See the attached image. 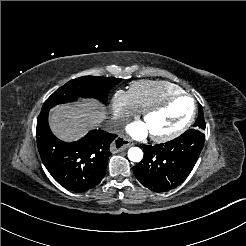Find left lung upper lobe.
<instances>
[{
    "instance_id": "1",
    "label": "left lung upper lobe",
    "mask_w": 246,
    "mask_h": 246,
    "mask_svg": "<svg viewBox=\"0 0 246 246\" xmlns=\"http://www.w3.org/2000/svg\"><path fill=\"white\" fill-rule=\"evenodd\" d=\"M194 128L195 129H198L200 131H204L205 130V120H204V115H203V111H202V107L201 105L199 106V115H198V118L196 120V122L194 123Z\"/></svg>"
}]
</instances>
